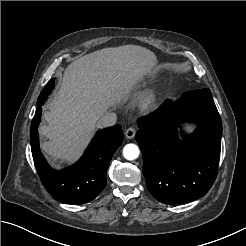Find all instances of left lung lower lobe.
<instances>
[{
    "label": "left lung lower lobe",
    "mask_w": 246,
    "mask_h": 246,
    "mask_svg": "<svg viewBox=\"0 0 246 246\" xmlns=\"http://www.w3.org/2000/svg\"><path fill=\"white\" fill-rule=\"evenodd\" d=\"M198 124L180 139L176 126ZM135 139L143 155V175L150 193L165 204L197 200L212 187L218 170L222 124L208 88L167 99L154 113L137 122Z\"/></svg>",
    "instance_id": "obj_1"
}]
</instances>
